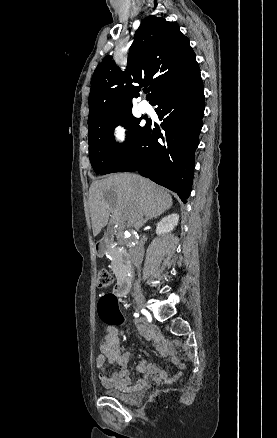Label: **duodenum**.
<instances>
[{"instance_id":"1","label":"duodenum","mask_w":277,"mask_h":438,"mask_svg":"<svg viewBox=\"0 0 277 438\" xmlns=\"http://www.w3.org/2000/svg\"><path fill=\"white\" fill-rule=\"evenodd\" d=\"M113 246V241L108 238L100 239L96 245V252L98 255H104L107 253ZM130 270H126V272L119 278L116 286L115 293L119 296H126L130 290Z\"/></svg>"}]
</instances>
